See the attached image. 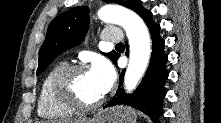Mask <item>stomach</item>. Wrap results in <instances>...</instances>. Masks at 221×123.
I'll return each instance as SVG.
<instances>
[{"instance_id": "stomach-1", "label": "stomach", "mask_w": 221, "mask_h": 123, "mask_svg": "<svg viewBox=\"0 0 221 123\" xmlns=\"http://www.w3.org/2000/svg\"><path fill=\"white\" fill-rule=\"evenodd\" d=\"M81 123H136V116L132 109L116 106L99 110L93 118H83Z\"/></svg>"}]
</instances>
